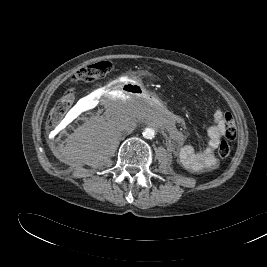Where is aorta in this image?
<instances>
[{
    "mask_svg": "<svg viewBox=\"0 0 267 267\" xmlns=\"http://www.w3.org/2000/svg\"><path fill=\"white\" fill-rule=\"evenodd\" d=\"M143 136L146 139H152L155 136V131L152 128H146L143 132Z\"/></svg>",
    "mask_w": 267,
    "mask_h": 267,
    "instance_id": "762f6f07",
    "label": "aorta"
}]
</instances>
